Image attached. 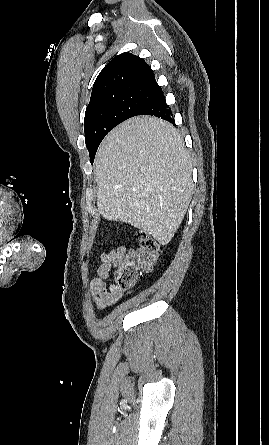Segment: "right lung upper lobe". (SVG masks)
Here are the masks:
<instances>
[{
  "label": "right lung upper lobe",
  "instance_id": "1",
  "mask_svg": "<svg viewBox=\"0 0 269 445\" xmlns=\"http://www.w3.org/2000/svg\"><path fill=\"white\" fill-rule=\"evenodd\" d=\"M157 86L154 73L144 59L124 52L113 58L100 72L93 85L90 102L117 89Z\"/></svg>",
  "mask_w": 269,
  "mask_h": 445
}]
</instances>
